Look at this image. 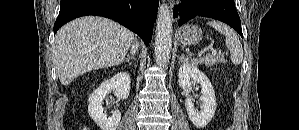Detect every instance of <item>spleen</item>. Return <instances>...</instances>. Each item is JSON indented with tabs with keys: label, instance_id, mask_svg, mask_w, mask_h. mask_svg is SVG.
Wrapping results in <instances>:
<instances>
[{
	"label": "spleen",
	"instance_id": "1",
	"mask_svg": "<svg viewBox=\"0 0 299 130\" xmlns=\"http://www.w3.org/2000/svg\"><path fill=\"white\" fill-rule=\"evenodd\" d=\"M207 24L226 37V46L230 50L232 63L234 65L241 64L243 61V48L237 34L221 22L209 21Z\"/></svg>",
	"mask_w": 299,
	"mask_h": 130
}]
</instances>
